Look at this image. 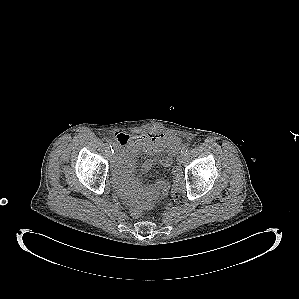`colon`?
I'll list each match as a JSON object with an SVG mask.
<instances>
[{"label": "colon", "instance_id": "1", "mask_svg": "<svg viewBox=\"0 0 299 299\" xmlns=\"http://www.w3.org/2000/svg\"><path fill=\"white\" fill-rule=\"evenodd\" d=\"M172 174H173V185L171 189V194L173 197H178L183 188V175H182L181 168L178 166V162L177 165H173ZM130 213L133 216H139L141 214V209L139 207H132L130 209Z\"/></svg>", "mask_w": 299, "mask_h": 299}]
</instances>
